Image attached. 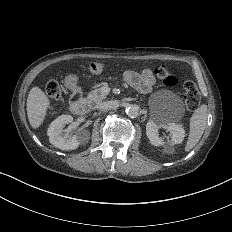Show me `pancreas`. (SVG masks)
Segmentation results:
<instances>
[{"label":"pancreas","instance_id":"1","mask_svg":"<svg viewBox=\"0 0 232 232\" xmlns=\"http://www.w3.org/2000/svg\"><path fill=\"white\" fill-rule=\"evenodd\" d=\"M106 97L107 96L103 94L99 89H95L89 92L87 98H84L83 101L90 109H95L102 103V101Z\"/></svg>","mask_w":232,"mask_h":232}]
</instances>
